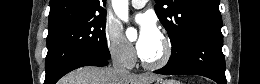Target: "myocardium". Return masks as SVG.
I'll return each mask as SVG.
<instances>
[{
	"instance_id": "obj_1",
	"label": "myocardium",
	"mask_w": 260,
	"mask_h": 84,
	"mask_svg": "<svg viewBox=\"0 0 260 84\" xmlns=\"http://www.w3.org/2000/svg\"><path fill=\"white\" fill-rule=\"evenodd\" d=\"M161 42L163 45V51L160 58L154 61H148L140 56V62L144 68L157 70L165 67L170 62L173 53L172 43L166 34L161 35Z\"/></svg>"
}]
</instances>
